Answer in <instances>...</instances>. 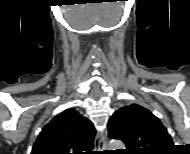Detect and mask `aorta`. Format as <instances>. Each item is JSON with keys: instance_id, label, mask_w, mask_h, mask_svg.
I'll return each instance as SVG.
<instances>
[{"instance_id": "obj_1", "label": "aorta", "mask_w": 190, "mask_h": 154, "mask_svg": "<svg viewBox=\"0 0 190 154\" xmlns=\"http://www.w3.org/2000/svg\"><path fill=\"white\" fill-rule=\"evenodd\" d=\"M108 147L109 150L125 149L124 143L120 140H111Z\"/></svg>"}]
</instances>
